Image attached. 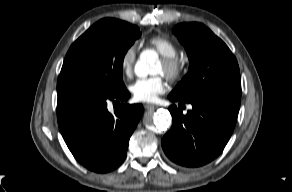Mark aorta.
Returning <instances> with one entry per match:
<instances>
[{"mask_svg": "<svg viewBox=\"0 0 292 192\" xmlns=\"http://www.w3.org/2000/svg\"><path fill=\"white\" fill-rule=\"evenodd\" d=\"M157 53L153 50L142 52L139 60L136 62L134 71L140 78H145L153 71V66L157 62ZM171 115L168 110L159 109L154 113L153 123L159 130H166L171 124Z\"/></svg>", "mask_w": 292, "mask_h": 192, "instance_id": "762f6f07", "label": "aorta"}]
</instances>
